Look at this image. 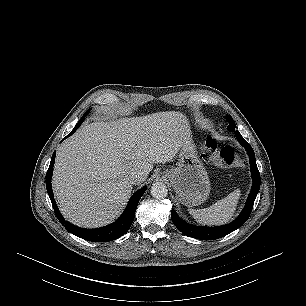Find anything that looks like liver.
<instances>
[{"label":"liver","mask_w":306,"mask_h":306,"mask_svg":"<svg viewBox=\"0 0 306 306\" xmlns=\"http://www.w3.org/2000/svg\"><path fill=\"white\" fill-rule=\"evenodd\" d=\"M190 140L188 119L175 111L84 124L57 150L52 185L60 211L81 227L112 222L132 192L131 172L147 178Z\"/></svg>","instance_id":"obj_1"}]
</instances>
